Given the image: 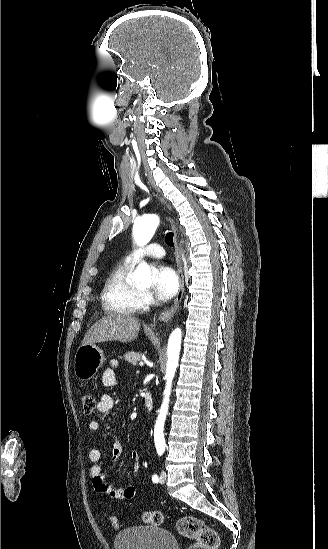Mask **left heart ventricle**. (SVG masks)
Here are the masks:
<instances>
[{
	"instance_id": "left-heart-ventricle-1",
	"label": "left heart ventricle",
	"mask_w": 328,
	"mask_h": 549,
	"mask_svg": "<svg viewBox=\"0 0 328 549\" xmlns=\"http://www.w3.org/2000/svg\"><path fill=\"white\" fill-rule=\"evenodd\" d=\"M140 288L143 289V290H146V289H147V288H145V287H140Z\"/></svg>"
}]
</instances>
